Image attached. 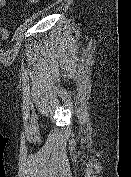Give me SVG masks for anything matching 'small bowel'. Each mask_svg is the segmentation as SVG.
I'll use <instances>...</instances> for the list:
<instances>
[{
	"label": "small bowel",
	"mask_w": 131,
	"mask_h": 177,
	"mask_svg": "<svg viewBox=\"0 0 131 177\" xmlns=\"http://www.w3.org/2000/svg\"><path fill=\"white\" fill-rule=\"evenodd\" d=\"M40 0H26L25 4L26 5H31V4H35V3H38ZM8 4V0H0V7H6ZM1 33L3 35L6 34V31L5 29L1 28Z\"/></svg>",
	"instance_id": "c3829d8e"
}]
</instances>
